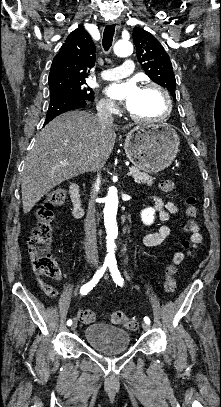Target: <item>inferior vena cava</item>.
Returning <instances> with one entry per match:
<instances>
[{
  "instance_id": "obj_1",
  "label": "inferior vena cava",
  "mask_w": 221,
  "mask_h": 407,
  "mask_svg": "<svg viewBox=\"0 0 221 407\" xmlns=\"http://www.w3.org/2000/svg\"><path fill=\"white\" fill-rule=\"evenodd\" d=\"M113 120L111 106L107 103L99 104L97 106V121L102 129L112 126ZM101 168L102 165L96 161L93 165V172L97 173V180L100 177ZM92 194H95L94 188L92 189ZM95 212L94 203L91 200L85 218V254L88 262L98 261Z\"/></svg>"
}]
</instances>
